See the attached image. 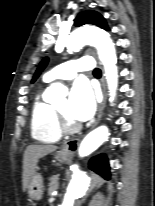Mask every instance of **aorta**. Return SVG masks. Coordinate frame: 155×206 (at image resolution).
Instances as JSON below:
<instances>
[{"instance_id":"1","label":"aorta","mask_w":155,"mask_h":206,"mask_svg":"<svg viewBox=\"0 0 155 206\" xmlns=\"http://www.w3.org/2000/svg\"><path fill=\"white\" fill-rule=\"evenodd\" d=\"M85 45H92L98 51L100 61L104 65L105 76L109 89V101L112 102L116 96L118 86V70L116 66V51L108 33L95 27H79L75 29L67 40V51L69 53L79 51ZM62 86L58 83L52 84L46 91L49 101H54ZM109 131L106 126H100L91 131L81 142L79 156L86 157L107 141ZM74 174L67 187L60 206H74L78 198L85 195L89 187V178L85 173L73 168Z\"/></svg>"}]
</instances>
